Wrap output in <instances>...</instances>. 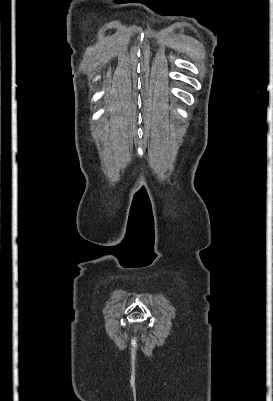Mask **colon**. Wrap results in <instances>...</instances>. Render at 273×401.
I'll use <instances>...</instances> for the list:
<instances>
[{"label": "colon", "instance_id": "colon-1", "mask_svg": "<svg viewBox=\"0 0 273 401\" xmlns=\"http://www.w3.org/2000/svg\"><path fill=\"white\" fill-rule=\"evenodd\" d=\"M136 325H139V322H136Z\"/></svg>", "mask_w": 273, "mask_h": 401}]
</instances>
